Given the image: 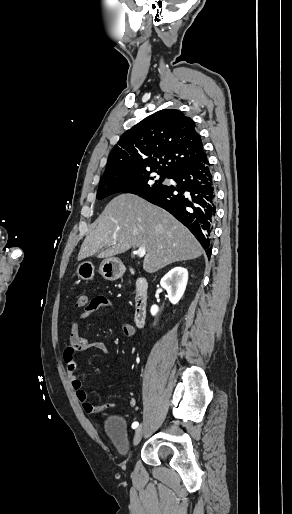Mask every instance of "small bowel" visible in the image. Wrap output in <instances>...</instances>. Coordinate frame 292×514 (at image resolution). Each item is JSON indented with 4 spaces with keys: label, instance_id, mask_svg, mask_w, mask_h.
<instances>
[{
    "label": "small bowel",
    "instance_id": "1",
    "mask_svg": "<svg viewBox=\"0 0 292 514\" xmlns=\"http://www.w3.org/2000/svg\"><path fill=\"white\" fill-rule=\"evenodd\" d=\"M111 307L112 303L106 296H94L90 300L89 308L85 312L79 314L77 320L72 321L69 329L68 342L63 352V358L66 371L69 376L70 385L75 391L78 400L81 402L83 411L89 413L90 416H93L94 412L100 414L101 412L109 411L111 409L109 404H115V401H109V404L106 405H92L88 402V395L83 389L82 381L74 375V372L77 369L76 353L83 350L96 349L104 354H109V348L103 341L90 340L86 337H83L79 330V321L86 319L91 313L99 309ZM123 331L128 337H135L137 335V327L127 323L123 324ZM127 396V400L131 406H136L138 404V401L135 399L134 393L132 391H129ZM112 409H115V406H112Z\"/></svg>",
    "mask_w": 292,
    "mask_h": 514
}]
</instances>
